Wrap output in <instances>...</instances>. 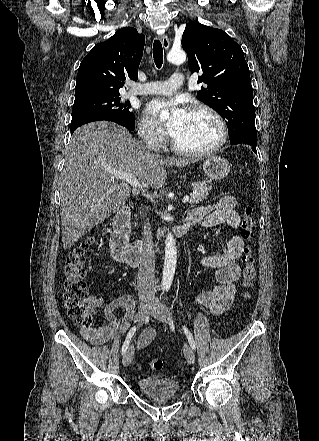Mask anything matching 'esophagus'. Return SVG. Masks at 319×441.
Segmentation results:
<instances>
[{"instance_id": "34e87169", "label": "esophagus", "mask_w": 319, "mask_h": 441, "mask_svg": "<svg viewBox=\"0 0 319 441\" xmlns=\"http://www.w3.org/2000/svg\"><path fill=\"white\" fill-rule=\"evenodd\" d=\"M160 40H161V43H162V45H163V48H164L166 51H168V50H169V47H170V42H169V39H168L167 35H166V34H162V35L160 36Z\"/></svg>"}]
</instances>
